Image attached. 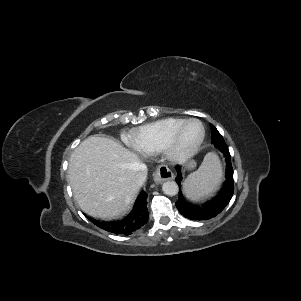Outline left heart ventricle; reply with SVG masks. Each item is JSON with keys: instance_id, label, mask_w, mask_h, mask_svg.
<instances>
[{"instance_id": "1", "label": "left heart ventricle", "mask_w": 301, "mask_h": 301, "mask_svg": "<svg viewBox=\"0 0 301 301\" xmlns=\"http://www.w3.org/2000/svg\"><path fill=\"white\" fill-rule=\"evenodd\" d=\"M202 133V128L199 123H190L182 132L179 142L178 149L180 151H186L191 149L196 142L199 140Z\"/></svg>"}]
</instances>
